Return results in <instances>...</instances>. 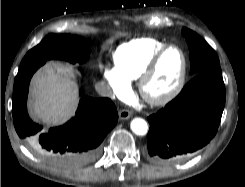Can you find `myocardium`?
Wrapping results in <instances>:
<instances>
[{
    "label": "myocardium",
    "instance_id": "obj_1",
    "mask_svg": "<svg viewBox=\"0 0 245 187\" xmlns=\"http://www.w3.org/2000/svg\"><path fill=\"white\" fill-rule=\"evenodd\" d=\"M171 49H175L180 53L182 59V66L178 78L171 89L162 95L154 96L151 95L148 90V84L155 76L161 59L164 55ZM187 75V58L184 51L177 45L169 44L161 48L151 59L143 73L138 79V90L141 97L150 105L153 106H163L174 100L184 87Z\"/></svg>",
    "mask_w": 245,
    "mask_h": 187
}]
</instances>
